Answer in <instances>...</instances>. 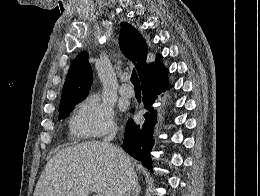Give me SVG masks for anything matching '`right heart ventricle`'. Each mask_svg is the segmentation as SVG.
Here are the masks:
<instances>
[{"instance_id":"1","label":"right heart ventricle","mask_w":260,"mask_h":196,"mask_svg":"<svg viewBox=\"0 0 260 196\" xmlns=\"http://www.w3.org/2000/svg\"><path fill=\"white\" fill-rule=\"evenodd\" d=\"M85 190H66V192H84Z\"/></svg>"}]
</instances>
